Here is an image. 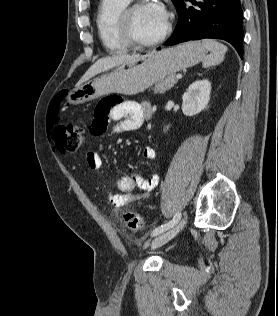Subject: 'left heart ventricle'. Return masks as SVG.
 Here are the masks:
<instances>
[{"label": "left heart ventricle", "mask_w": 278, "mask_h": 316, "mask_svg": "<svg viewBox=\"0 0 278 316\" xmlns=\"http://www.w3.org/2000/svg\"><path fill=\"white\" fill-rule=\"evenodd\" d=\"M166 22L158 18L148 3L135 9L133 13V29L138 39L151 41L165 29Z\"/></svg>", "instance_id": "1"}]
</instances>
